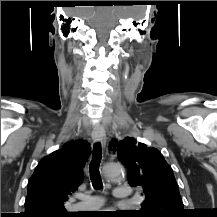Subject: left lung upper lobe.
I'll list each match as a JSON object with an SVG mask.
<instances>
[{
  "mask_svg": "<svg viewBox=\"0 0 217 217\" xmlns=\"http://www.w3.org/2000/svg\"><path fill=\"white\" fill-rule=\"evenodd\" d=\"M116 152L118 160L127 168L129 184L143 188L145 200L140 212L143 217L184 215L173 171L157 149L127 137L116 144Z\"/></svg>",
  "mask_w": 217,
  "mask_h": 217,
  "instance_id": "obj_1",
  "label": "left lung upper lobe"
}]
</instances>
